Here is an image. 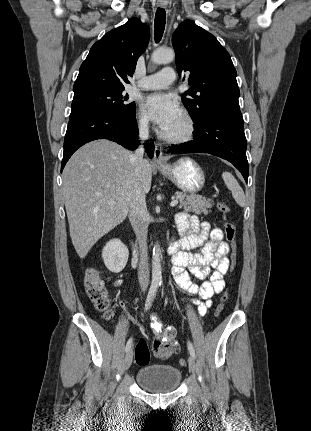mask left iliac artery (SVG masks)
I'll use <instances>...</instances> for the list:
<instances>
[{
	"instance_id": "44dca946",
	"label": "left iliac artery",
	"mask_w": 311,
	"mask_h": 431,
	"mask_svg": "<svg viewBox=\"0 0 311 431\" xmlns=\"http://www.w3.org/2000/svg\"><path fill=\"white\" fill-rule=\"evenodd\" d=\"M187 346H188V350H189L191 356H193L195 358V350H194L192 343L188 341Z\"/></svg>"
}]
</instances>
